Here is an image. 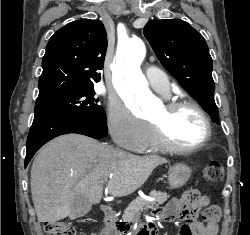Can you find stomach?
I'll use <instances>...</instances> for the list:
<instances>
[{"instance_id": "1", "label": "stomach", "mask_w": 250, "mask_h": 235, "mask_svg": "<svg viewBox=\"0 0 250 235\" xmlns=\"http://www.w3.org/2000/svg\"><path fill=\"white\" fill-rule=\"evenodd\" d=\"M192 170L183 163H177L169 168L168 184L171 189H177L186 184L191 177Z\"/></svg>"}]
</instances>
